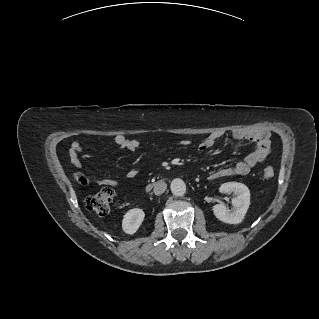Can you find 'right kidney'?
Segmentation results:
<instances>
[{"label": "right kidney", "mask_w": 319, "mask_h": 319, "mask_svg": "<svg viewBox=\"0 0 319 319\" xmlns=\"http://www.w3.org/2000/svg\"><path fill=\"white\" fill-rule=\"evenodd\" d=\"M145 213L140 208L127 211L122 220V229L127 234H134L142 224Z\"/></svg>", "instance_id": "right-kidney-1"}]
</instances>
